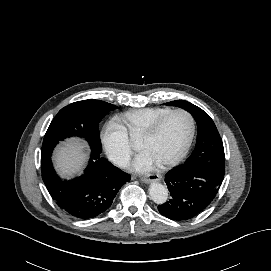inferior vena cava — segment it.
I'll return each mask as SVG.
<instances>
[{
  "mask_svg": "<svg viewBox=\"0 0 271 271\" xmlns=\"http://www.w3.org/2000/svg\"><path fill=\"white\" fill-rule=\"evenodd\" d=\"M112 161L119 167L126 168L130 164V157L128 155H117L112 158Z\"/></svg>",
  "mask_w": 271,
  "mask_h": 271,
  "instance_id": "1",
  "label": "inferior vena cava"
}]
</instances>
